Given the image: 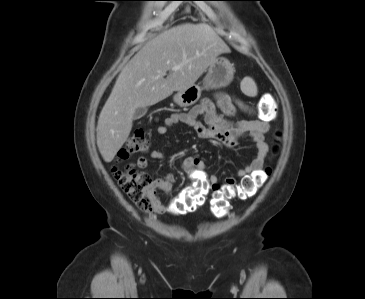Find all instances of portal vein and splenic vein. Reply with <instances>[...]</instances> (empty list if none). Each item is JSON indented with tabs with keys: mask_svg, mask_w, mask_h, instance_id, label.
Wrapping results in <instances>:
<instances>
[{
	"mask_svg": "<svg viewBox=\"0 0 365 299\" xmlns=\"http://www.w3.org/2000/svg\"><path fill=\"white\" fill-rule=\"evenodd\" d=\"M180 69V66H175V67H173L172 68V71H177V70H179ZM166 73H164L163 75H165Z\"/></svg>",
	"mask_w": 365,
	"mask_h": 299,
	"instance_id": "1",
	"label": "portal vein and splenic vein"
}]
</instances>
